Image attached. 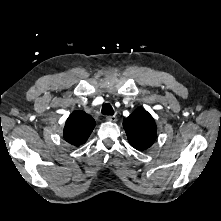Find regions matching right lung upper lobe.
<instances>
[{
    "label": "right lung upper lobe",
    "instance_id": "obj_1",
    "mask_svg": "<svg viewBox=\"0 0 221 221\" xmlns=\"http://www.w3.org/2000/svg\"><path fill=\"white\" fill-rule=\"evenodd\" d=\"M95 127V120L84 111H74L66 121L64 139L76 147L85 143Z\"/></svg>",
    "mask_w": 221,
    "mask_h": 221
}]
</instances>
